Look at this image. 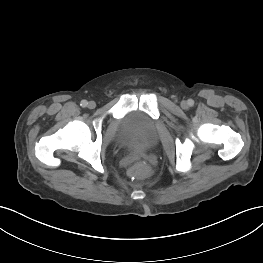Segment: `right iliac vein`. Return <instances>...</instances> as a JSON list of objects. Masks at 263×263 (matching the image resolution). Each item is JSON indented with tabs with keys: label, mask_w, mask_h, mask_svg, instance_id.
Here are the masks:
<instances>
[{
	"label": "right iliac vein",
	"mask_w": 263,
	"mask_h": 263,
	"mask_svg": "<svg viewBox=\"0 0 263 263\" xmlns=\"http://www.w3.org/2000/svg\"><path fill=\"white\" fill-rule=\"evenodd\" d=\"M95 106H96V103H95L94 101H90V102L88 103V108H90V109L95 108Z\"/></svg>",
	"instance_id": "right-iliac-vein-1"
}]
</instances>
